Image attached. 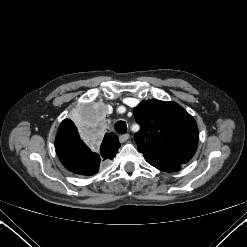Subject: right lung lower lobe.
<instances>
[{"label": "right lung lower lobe", "mask_w": 247, "mask_h": 247, "mask_svg": "<svg viewBox=\"0 0 247 247\" xmlns=\"http://www.w3.org/2000/svg\"><path fill=\"white\" fill-rule=\"evenodd\" d=\"M55 150L62 164L77 174L93 175L105 163L104 157L99 152L90 150L80 137L57 134ZM116 153L109 159L111 160Z\"/></svg>", "instance_id": "right-lung-lower-lobe-1"}]
</instances>
